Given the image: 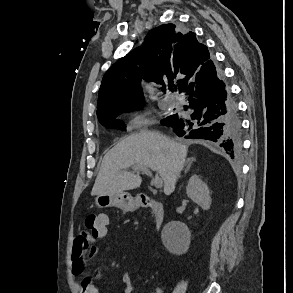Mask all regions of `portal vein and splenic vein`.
Returning a JSON list of instances; mask_svg holds the SVG:
<instances>
[{
  "mask_svg": "<svg viewBox=\"0 0 293 293\" xmlns=\"http://www.w3.org/2000/svg\"><path fill=\"white\" fill-rule=\"evenodd\" d=\"M134 171H142L143 173L147 174L148 176L152 177L151 171L147 167H142V166H134L132 167ZM153 182L155 184L156 188L162 187V179L159 176L153 177Z\"/></svg>",
  "mask_w": 293,
  "mask_h": 293,
  "instance_id": "portal-vein-and-splenic-vein-1",
  "label": "portal vein and splenic vein"
}]
</instances>
